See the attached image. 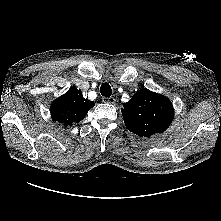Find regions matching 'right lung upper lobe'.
Wrapping results in <instances>:
<instances>
[{
  "instance_id": "right-lung-upper-lobe-1",
  "label": "right lung upper lobe",
  "mask_w": 221,
  "mask_h": 221,
  "mask_svg": "<svg viewBox=\"0 0 221 221\" xmlns=\"http://www.w3.org/2000/svg\"><path fill=\"white\" fill-rule=\"evenodd\" d=\"M94 102L85 99L82 92L70 88L64 95L58 97L51 105L53 121L64 126L78 123L85 118L87 112L94 106Z\"/></svg>"
}]
</instances>
